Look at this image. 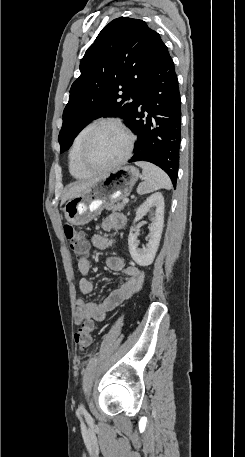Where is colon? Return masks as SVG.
I'll return each mask as SVG.
<instances>
[{
    "mask_svg": "<svg viewBox=\"0 0 245 457\" xmlns=\"http://www.w3.org/2000/svg\"><path fill=\"white\" fill-rule=\"evenodd\" d=\"M64 232L72 252L80 259L86 258L89 254V244L87 240L70 224L64 226ZM94 329L95 325L91 320L83 322L77 328L74 339L75 344L80 351L84 352L90 346Z\"/></svg>",
    "mask_w": 245,
    "mask_h": 457,
    "instance_id": "5ec220e1",
    "label": "colon"
}]
</instances>
